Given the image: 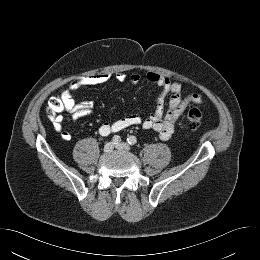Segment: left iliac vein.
Masks as SVG:
<instances>
[{"label":"left iliac vein","mask_w":260,"mask_h":260,"mask_svg":"<svg viewBox=\"0 0 260 260\" xmlns=\"http://www.w3.org/2000/svg\"><path fill=\"white\" fill-rule=\"evenodd\" d=\"M116 148L119 149V150H125V151H129V150H130L129 145L126 144V143H123V142L118 143V144L116 145Z\"/></svg>","instance_id":"left-iliac-vein-1"}]
</instances>
